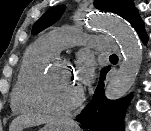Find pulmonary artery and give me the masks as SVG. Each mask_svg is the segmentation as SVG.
<instances>
[{"label": "pulmonary artery", "instance_id": "1", "mask_svg": "<svg viewBox=\"0 0 151 131\" xmlns=\"http://www.w3.org/2000/svg\"><path fill=\"white\" fill-rule=\"evenodd\" d=\"M45 39L57 51L74 45H86L101 51H113V43L107 36H90L71 28H56L45 35Z\"/></svg>", "mask_w": 151, "mask_h": 131}]
</instances>
